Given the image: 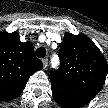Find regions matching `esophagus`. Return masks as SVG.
Masks as SVG:
<instances>
[{"label":"esophagus","instance_id":"obj_1","mask_svg":"<svg viewBox=\"0 0 108 108\" xmlns=\"http://www.w3.org/2000/svg\"><path fill=\"white\" fill-rule=\"evenodd\" d=\"M43 67L46 68L48 66V59L44 58L42 59Z\"/></svg>","mask_w":108,"mask_h":108}]
</instances>
